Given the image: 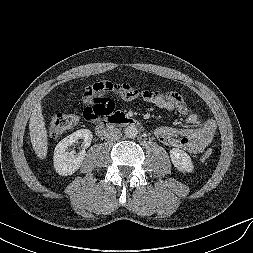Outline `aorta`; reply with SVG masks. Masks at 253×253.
I'll return each mask as SVG.
<instances>
[{"instance_id":"obj_1","label":"aorta","mask_w":253,"mask_h":253,"mask_svg":"<svg viewBox=\"0 0 253 253\" xmlns=\"http://www.w3.org/2000/svg\"><path fill=\"white\" fill-rule=\"evenodd\" d=\"M124 134L127 138H135L138 134V130L136 128V126L134 125H130V126H127L124 130Z\"/></svg>"}]
</instances>
